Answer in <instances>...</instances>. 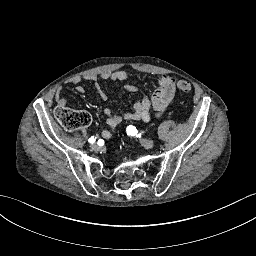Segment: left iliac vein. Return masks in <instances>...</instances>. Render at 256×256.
<instances>
[{"mask_svg":"<svg viewBox=\"0 0 256 256\" xmlns=\"http://www.w3.org/2000/svg\"><path fill=\"white\" fill-rule=\"evenodd\" d=\"M140 143L145 148H152L154 146V141L152 139H141Z\"/></svg>","mask_w":256,"mask_h":256,"instance_id":"left-iliac-vein-1","label":"left iliac vein"}]
</instances>
